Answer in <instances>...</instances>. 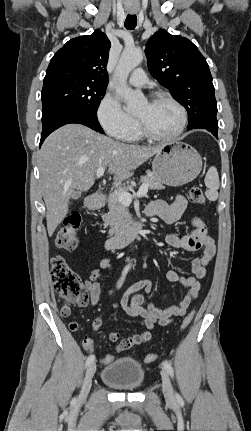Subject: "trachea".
Instances as JSON below:
<instances>
[{"mask_svg": "<svg viewBox=\"0 0 251 431\" xmlns=\"http://www.w3.org/2000/svg\"><path fill=\"white\" fill-rule=\"evenodd\" d=\"M137 25V17L136 15H127L124 26L128 30L135 29Z\"/></svg>", "mask_w": 251, "mask_h": 431, "instance_id": "obj_1", "label": "trachea"}]
</instances>
